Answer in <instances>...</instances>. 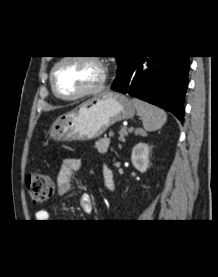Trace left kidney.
<instances>
[{"mask_svg":"<svg viewBox=\"0 0 218 277\" xmlns=\"http://www.w3.org/2000/svg\"><path fill=\"white\" fill-rule=\"evenodd\" d=\"M149 152L148 144L142 142L135 145L132 149V164L141 173L146 172L149 167Z\"/></svg>","mask_w":218,"mask_h":277,"instance_id":"left-kidney-1","label":"left kidney"}]
</instances>
